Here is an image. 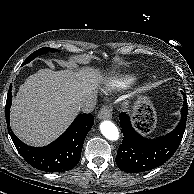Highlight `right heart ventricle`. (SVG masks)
I'll return each mask as SVG.
<instances>
[{"mask_svg":"<svg viewBox=\"0 0 194 194\" xmlns=\"http://www.w3.org/2000/svg\"><path fill=\"white\" fill-rule=\"evenodd\" d=\"M135 77L132 75H123L117 78H114L111 81V86L114 88H123L133 83Z\"/></svg>","mask_w":194,"mask_h":194,"instance_id":"1","label":"right heart ventricle"}]
</instances>
